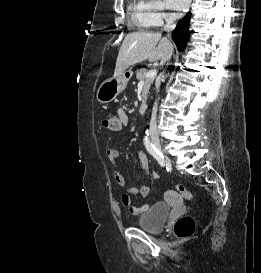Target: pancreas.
<instances>
[{
    "label": "pancreas",
    "instance_id": "obj_1",
    "mask_svg": "<svg viewBox=\"0 0 261 273\" xmlns=\"http://www.w3.org/2000/svg\"><path fill=\"white\" fill-rule=\"evenodd\" d=\"M147 69L142 68L140 70L136 71V78L141 81L144 80L145 84H144V88H143V92H142V97H143V101H146L147 99V94L149 92L150 86L153 83L155 77L152 78H145V74L147 73Z\"/></svg>",
    "mask_w": 261,
    "mask_h": 273
}]
</instances>
